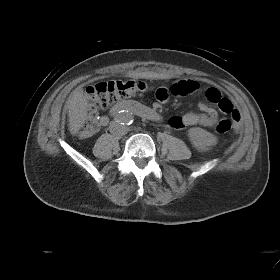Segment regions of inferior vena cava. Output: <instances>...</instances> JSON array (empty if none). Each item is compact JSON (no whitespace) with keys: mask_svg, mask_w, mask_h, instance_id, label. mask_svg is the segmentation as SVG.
<instances>
[{"mask_svg":"<svg viewBox=\"0 0 280 280\" xmlns=\"http://www.w3.org/2000/svg\"><path fill=\"white\" fill-rule=\"evenodd\" d=\"M110 132L117 136H122L127 133V128L117 121H112L109 126Z\"/></svg>","mask_w":280,"mask_h":280,"instance_id":"1","label":"inferior vena cava"}]
</instances>
